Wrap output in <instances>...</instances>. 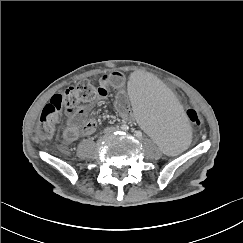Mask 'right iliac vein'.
I'll return each instance as SVG.
<instances>
[{"label":"right iliac vein","mask_w":243,"mask_h":243,"mask_svg":"<svg viewBox=\"0 0 243 243\" xmlns=\"http://www.w3.org/2000/svg\"><path fill=\"white\" fill-rule=\"evenodd\" d=\"M111 132H113V129H106L105 130V133H111Z\"/></svg>","instance_id":"63e3f726"}]
</instances>
